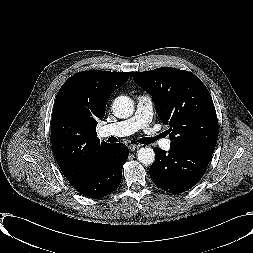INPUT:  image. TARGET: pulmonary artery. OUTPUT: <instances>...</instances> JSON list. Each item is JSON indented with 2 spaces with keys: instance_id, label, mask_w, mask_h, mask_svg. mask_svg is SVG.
<instances>
[{
  "instance_id": "1",
  "label": "pulmonary artery",
  "mask_w": 253,
  "mask_h": 253,
  "mask_svg": "<svg viewBox=\"0 0 253 253\" xmlns=\"http://www.w3.org/2000/svg\"><path fill=\"white\" fill-rule=\"evenodd\" d=\"M153 100L150 95H140L137 98V106L132 117L107 126L100 131L101 137L129 136L138 130H143L146 137L156 142L162 149L169 150L172 145L171 138L163 139L152 127Z\"/></svg>"
}]
</instances>
